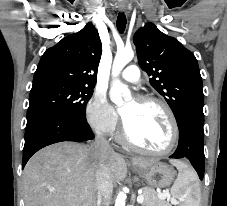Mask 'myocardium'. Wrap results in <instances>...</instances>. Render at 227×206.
I'll return each instance as SVG.
<instances>
[{
	"label": "myocardium",
	"instance_id": "f54148a6",
	"mask_svg": "<svg viewBox=\"0 0 227 206\" xmlns=\"http://www.w3.org/2000/svg\"><path fill=\"white\" fill-rule=\"evenodd\" d=\"M136 101L140 104H154V105L161 107L164 110V112L166 113V115L169 119L170 125H171V130H172L171 141H170L169 145L165 149H162V150L146 149V148L140 146L139 144H137L131 138V136L129 135V133L127 131L126 125L123 122L122 138L125 141V143L127 145H129L131 148H133L134 150L144 153V154H148V155L162 156V155H166V154L170 153L171 151H173L178 144L180 131H179V125H178L176 116H175L173 110L171 109V107L164 100L157 98V97H153V96H146V95L138 96L136 98Z\"/></svg>",
	"mask_w": 227,
	"mask_h": 206
}]
</instances>
